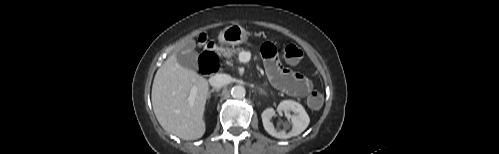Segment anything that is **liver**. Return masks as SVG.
<instances>
[{
    "label": "liver",
    "instance_id": "liver-1",
    "mask_svg": "<svg viewBox=\"0 0 499 154\" xmlns=\"http://www.w3.org/2000/svg\"><path fill=\"white\" fill-rule=\"evenodd\" d=\"M192 88L197 93L190 104ZM208 89V81L181 66L176 53L169 56L156 72L151 94L153 110L162 128L184 140L201 138L205 133L203 114Z\"/></svg>",
    "mask_w": 499,
    "mask_h": 154
}]
</instances>
